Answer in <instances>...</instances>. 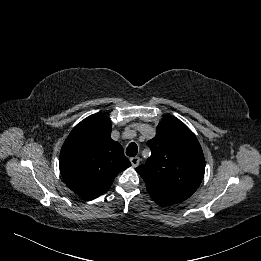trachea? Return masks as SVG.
Masks as SVG:
<instances>
[{
    "label": "trachea",
    "mask_w": 261,
    "mask_h": 261,
    "mask_svg": "<svg viewBox=\"0 0 261 261\" xmlns=\"http://www.w3.org/2000/svg\"><path fill=\"white\" fill-rule=\"evenodd\" d=\"M137 152H138L137 144L135 142H131L126 149V155L130 157H134L136 156Z\"/></svg>",
    "instance_id": "trachea-1"
}]
</instances>
